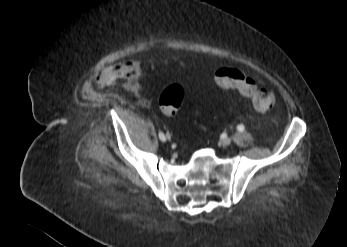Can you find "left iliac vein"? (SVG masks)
Instances as JSON below:
<instances>
[{"instance_id": "1", "label": "left iliac vein", "mask_w": 347, "mask_h": 247, "mask_svg": "<svg viewBox=\"0 0 347 247\" xmlns=\"http://www.w3.org/2000/svg\"><path fill=\"white\" fill-rule=\"evenodd\" d=\"M221 143L224 146H229L231 144V139L230 138H224V139H222Z\"/></svg>"}]
</instances>
